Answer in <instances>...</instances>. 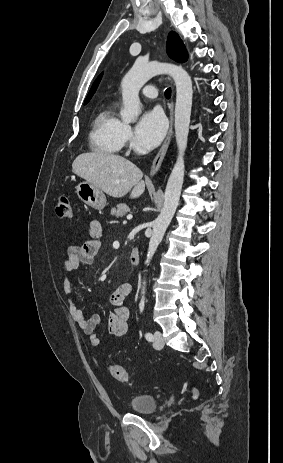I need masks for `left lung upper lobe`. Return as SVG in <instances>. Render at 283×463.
<instances>
[{"label":"left lung upper lobe","mask_w":283,"mask_h":463,"mask_svg":"<svg viewBox=\"0 0 283 463\" xmlns=\"http://www.w3.org/2000/svg\"><path fill=\"white\" fill-rule=\"evenodd\" d=\"M166 50L168 55L177 62H185L188 58L185 47L175 32L169 33Z\"/></svg>","instance_id":"5c2ea615"}]
</instances>
